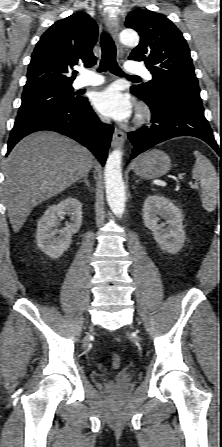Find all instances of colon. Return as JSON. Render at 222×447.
Masks as SVG:
<instances>
[{
    "mask_svg": "<svg viewBox=\"0 0 222 447\" xmlns=\"http://www.w3.org/2000/svg\"><path fill=\"white\" fill-rule=\"evenodd\" d=\"M111 361H112V366L114 368H118L121 365V357H120V355L113 354L112 358H111Z\"/></svg>",
    "mask_w": 222,
    "mask_h": 447,
    "instance_id": "obj_1",
    "label": "colon"
}]
</instances>
